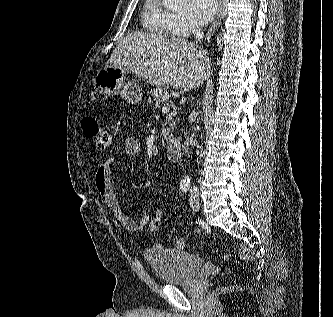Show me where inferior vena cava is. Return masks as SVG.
Masks as SVG:
<instances>
[{"instance_id": "obj_1", "label": "inferior vena cava", "mask_w": 333, "mask_h": 317, "mask_svg": "<svg viewBox=\"0 0 333 317\" xmlns=\"http://www.w3.org/2000/svg\"><path fill=\"white\" fill-rule=\"evenodd\" d=\"M192 32H193V34H194V36H195V38H196L197 41H200L203 38V36H204V33L202 31V27L200 25H195L193 27Z\"/></svg>"}]
</instances>
